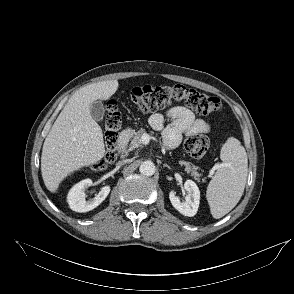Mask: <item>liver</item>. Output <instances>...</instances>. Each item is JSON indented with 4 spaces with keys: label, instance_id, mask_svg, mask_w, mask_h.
<instances>
[{
    "label": "liver",
    "instance_id": "liver-1",
    "mask_svg": "<svg viewBox=\"0 0 294 294\" xmlns=\"http://www.w3.org/2000/svg\"><path fill=\"white\" fill-rule=\"evenodd\" d=\"M117 80L80 88L66 103L42 148L41 172L46 188L55 193L71 173L100 161L105 154L101 127L92 118L90 105L109 99L118 89Z\"/></svg>",
    "mask_w": 294,
    "mask_h": 294
}]
</instances>
